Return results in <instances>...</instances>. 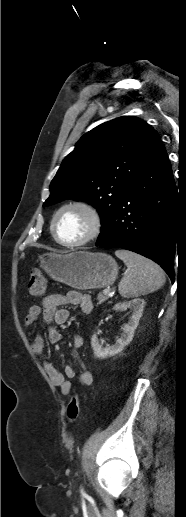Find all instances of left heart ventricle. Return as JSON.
<instances>
[{"instance_id":"b2bd125f","label":"left heart ventricle","mask_w":186,"mask_h":517,"mask_svg":"<svg viewBox=\"0 0 186 517\" xmlns=\"http://www.w3.org/2000/svg\"><path fill=\"white\" fill-rule=\"evenodd\" d=\"M88 216L79 209H68L60 214L56 222V233L64 242H76L89 230Z\"/></svg>"}]
</instances>
